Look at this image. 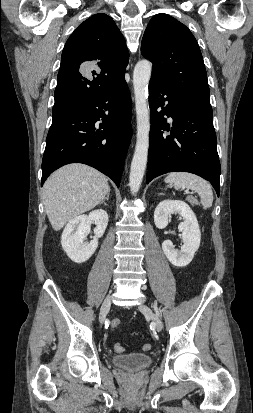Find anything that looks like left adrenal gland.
Wrapping results in <instances>:
<instances>
[{
	"instance_id": "left-adrenal-gland-1",
	"label": "left adrenal gland",
	"mask_w": 253,
	"mask_h": 413,
	"mask_svg": "<svg viewBox=\"0 0 253 413\" xmlns=\"http://www.w3.org/2000/svg\"><path fill=\"white\" fill-rule=\"evenodd\" d=\"M158 195H163V193H159Z\"/></svg>"
}]
</instances>
